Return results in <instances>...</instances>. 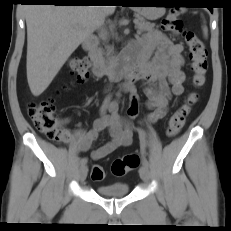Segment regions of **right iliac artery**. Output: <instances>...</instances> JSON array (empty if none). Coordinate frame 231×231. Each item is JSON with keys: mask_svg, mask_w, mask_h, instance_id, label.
Returning a JSON list of instances; mask_svg holds the SVG:
<instances>
[{"mask_svg": "<svg viewBox=\"0 0 231 231\" xmlns=\"http://www.w3.org/2000/svg\"><path fill=\"white\" fill-rule=\"evenodd\" d=\"M112 98V95H108L103 104H102V107H101V114H105L106 113V108H107V105L109 103V101L111 100ZM87 163V158H83L81 161H80V164L81 166H84L85 164Z\"/></svg>", "mask_w": 231, "mask_h": 231, "instance_id": "obj_1", "label": "right iliac artery"}]
</instances>
